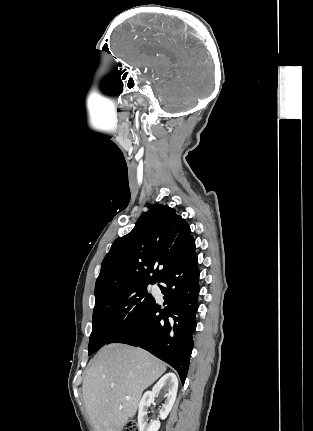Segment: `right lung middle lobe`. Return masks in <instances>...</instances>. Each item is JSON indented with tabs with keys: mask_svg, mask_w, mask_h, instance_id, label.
Segmentation results:
<instances>
[{
	"mask_svg": "<svg viewBox=\"0 0 313 431\" xmlns=\"http://www.w3.org/2000/svg\"><path fill=\"white\" fill-rule=\"evenodd\" d=\"M153 299L148 284L129 287L95 301L89 355L121 332Z\"/></svg>",
	"mask_w": 313,
	"mask_h": 431,
	"instance_id": "right-lung-middle-lobe-1",
	"label": "right lung middle lobe"
}]
</instances>
